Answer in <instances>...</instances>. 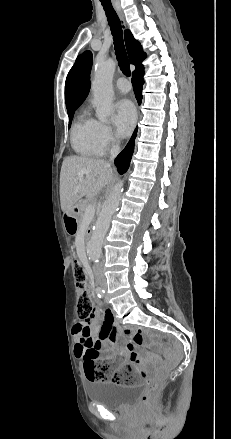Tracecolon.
<instances>
[{"label": "colon", "mask_w": 231, "mask_h": 439, "mask_svg": "<svg viewBox=\"0 0 231 439\" xmlns=\"http://www.w3.org/2000/svg\"><path fill=\"white\" fill-rule=\"evenodd\" d=\"M74 277L79 296L77 315L82 321H88L92 316L93 302L87 291V275L85 269L78 262L74 265ZM84 369L87 379L91 381L111 380L116 384L123 385L131 384L136 381L135 373L137 371L132 366L120 365L111 372V363L109 361L98 360L97 356L92 352H88L85 356ZM160 383V378L146 379V388L140 397L141 405H147L152 402L160 387Z\"/></svg>", "instance_id": "5ec220e1"}]
</instances>
